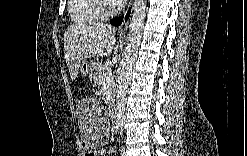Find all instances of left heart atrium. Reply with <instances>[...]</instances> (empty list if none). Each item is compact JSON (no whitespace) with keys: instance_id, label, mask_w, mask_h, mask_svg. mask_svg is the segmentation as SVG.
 <instances>
[{"instance_id":"obj_1","label":"left heart atrium","mask_w":247,"mask_h":156,"mask_svg":"<svg viewBox=\"0 0 247 156\" xmlns=\"http://www.w3.org/2000/svg\"><path fill=\"white\" fill-rule=\"evenodd\" d=\"M111 3L114 5H122L125 3V1L124 0H112Z\"/></svg>"}]
</instances>
